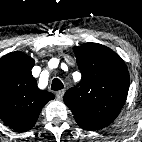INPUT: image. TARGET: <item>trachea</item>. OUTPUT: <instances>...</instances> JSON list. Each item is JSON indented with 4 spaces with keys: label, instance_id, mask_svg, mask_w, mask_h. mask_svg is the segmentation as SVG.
Returning <instances> with one entry per match:
<instances>
[{
    "label": "trachea",
    "instance_id": "1",
    "mask_svg": "<svg viewBox=\"0 0 142 142\" xmlns=\"http://www.w3.org/2000/svg\"><path fill=\"white\" fill-rule=\"evenodd\" d=\"M64 88L63 83L61 82L60 79L54 78L52 81L51 89L54 91H58Z\"/></svg>",
    "mask_w": 142,
    "mask_h": 142
}]
</instances>
